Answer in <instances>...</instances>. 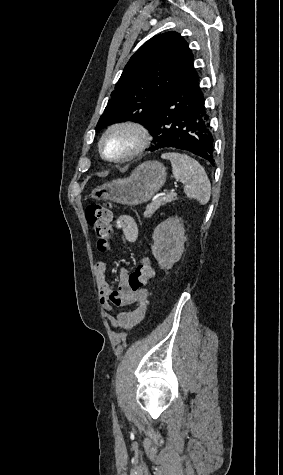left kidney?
Here are the masks:
<instances>
[{
    "label": "left kidney",
    "mask_w": 283,
    "mask_h": 475,
    "mask_svg": "<svg viewBox=\"0 0 283 475\" xmlns=\"http://www.w3.org/2000/svg\"><path fill=\"white\" fill-rule=\"evenodd\" d=\"M181 218H168L156 226L152 238V253L161 269H171L179 261L183 251L186 236Z\"/></svg>",
    "instance_id": "1"
}]
</instances>
